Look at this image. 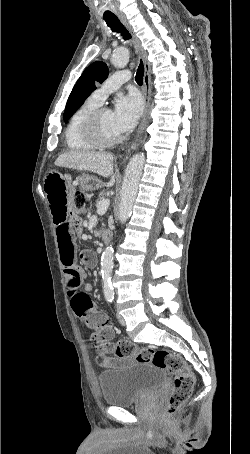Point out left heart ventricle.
<instances>
[{"instance_id":"1","label":"left heart ventricle","mask_w":250,"mask_h":454,"mask_svg":"<svg viewBox=\"0 0 250 454\" xmlns=\"http://www.w3.org/2000/svg\"><path fill=\"white\" fill-rule=\"evenodd\" d=\"M101 126L103 132L108 137H116L121 135V133L116 129L113 120V112L110 110H106L101 118Z\"/></svg>"}]
</instances>
